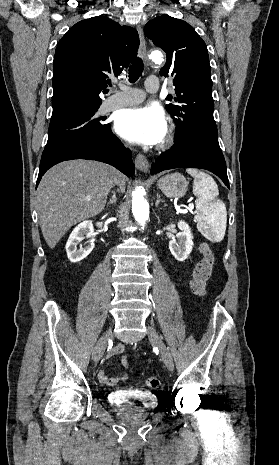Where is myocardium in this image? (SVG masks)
<instances>
[{"mask_svg": "<svg viewBox=\"0 0 279 465\" xmlns=\"http://www.w3.org/2000/svg\"><path fill=\"white\" fill-rule=\"evenodd\" d=\"M173 141V133L172 130H169L163 139V141L160 144V148H166L168 147Z\"/></svg>", "mask_w": 279, "mask_h": 465, "instance_id": "myocardium-1", "label": "myocardium"}]
</instances>
